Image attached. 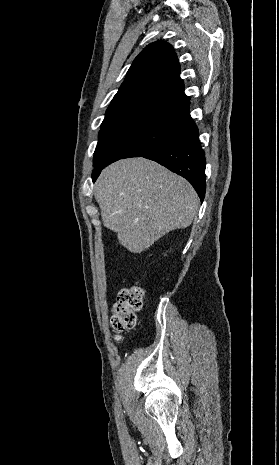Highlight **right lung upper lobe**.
I'll return each instance as SVG.
<instances>
[{"label": "right lung upper lobe", "mask_w": 279, "mask_h": 465, "mask_svg": "<svg viewBox=\"0 0 279 465\" xmlns=\"http://www.w3.org/2000/svg\"><path fill=\"white\" fill-rule=\"evenodd\" d=\"M180 66L172 46L149 44L135 58L101 127L127 122L181 125L189 114Z\"/></svg>", "instance_id": "cb5924a9"}]
</instances>
